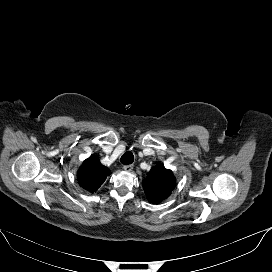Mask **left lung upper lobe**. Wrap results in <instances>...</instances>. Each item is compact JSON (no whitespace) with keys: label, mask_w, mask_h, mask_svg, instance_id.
I'll return each instance as SVG.
<instances>
[{"label":"left lung upper lobe","mask_w":272,"mask_h":272,"mask_svg":"<svg viewBox=\"0 0 272 272\" xmlns=\"http://www.w3.org/2000/svg\"><path fill=\"white\" fill-rule=\"evenodd\" d=\"M175 177L171 170L164 166L152 168L143 182L147 199L152 203L160 202L171 194L175 187Z\"/></svg>","instance_id":"obj_1"}]
</instances>
